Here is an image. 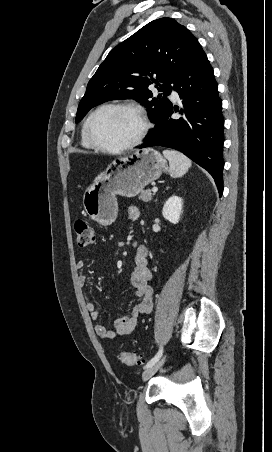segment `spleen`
<instances>
[{
  "label": "spleen",
  "mask_w": 272,
  "mask_h": 452,
  "mask_svg": "<svg viewBox=\"0 0 272 452\" xmlns=\"http://www.w3.org/2000/svg\"><path fill=\"white\" fill-rule=\"evenodd\" d=\"M163 155L169 161V173L172 178L182 177L192 165L189 158L176 150H164Z\"/></svg>",
  "instance_id": "3e777b00"
}]
</instances>
